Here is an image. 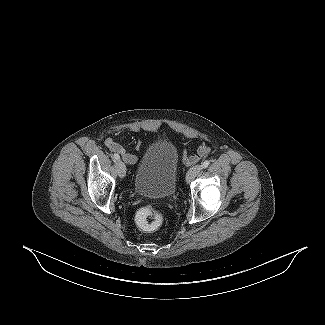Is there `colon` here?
Segmentation results:
<instances>
[{"label": "colon", "mask_w": 325, "mask_h": 325, "mask_svg": "<svg viewBox=\"0 0 325 325\" xmlns=\"http://www.w3.org/2000/svg\"><path fill=\"white\" fill-rule=\"evenodd\" d=\"M136 222L142 230L151 232L157 230L162 225L163 216L153 208L144 207L138 211Z\"/></svg>", "instance_id": "1"}]
</instances>
